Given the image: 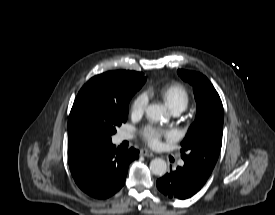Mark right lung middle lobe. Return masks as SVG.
<instances>
[{
	"label": "right lung middle lobe",
	"instance_id": "dd1d6c3e",
	"mask_svg": "<svg viewBox=\"0 0 275 215\" xmlns=\"http://www.w3.org/2000/svg\"><path fill=\"white\" fill-rule=\"evenodd\" d=\"M140 76L126 85L119 94L102 93L94 77L78 93L68 120V147L89 143L110 142L116 127L126 122L128 103L145 83Z\"/></svg>",
	"mask_w": 275,
	"mask_h": 215
}]
</instances>
